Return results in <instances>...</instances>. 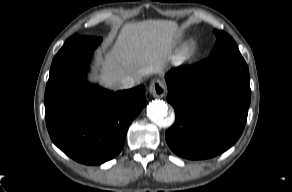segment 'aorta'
<instances>
[{"mask_svg": "<svg viewBox=\"0 0 292 192\" xmlns=\"http://www.w3.org/2000/svg\"><path fill=\"white\" fill-rule=\"evenodd\" d=\"M147 115L159 127H168L173 123V118L168 116L167 104L160 100L148 104Z\"/></svg>", "mask_w": 292, "mask_h": 192, "instance_id": "aorta-1", "label": "aorta"}]
</instances>
